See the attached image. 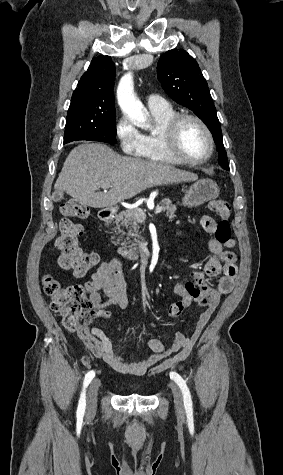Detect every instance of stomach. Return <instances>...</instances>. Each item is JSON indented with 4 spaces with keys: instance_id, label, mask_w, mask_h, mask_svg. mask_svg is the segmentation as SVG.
I'll use <instances>...</instances> for the list:
<instances>
[{
    "instance_id": "0dacf381",
    "label": "stomach",
    "mask_w": 283,
    "mask_h": 475,
    "mask_svg": "<svg viewBox=\"0 0 283 475\" xmlns=\"http://www.w3.org/2000/svg\"><path fill=\"white\" fill-rule=\"evenodd\" d=\"M219 196V188L213 180H198L190 186L183 198V206L196 208L209 200H215Z\"/></svg>"
}]
</instances>
